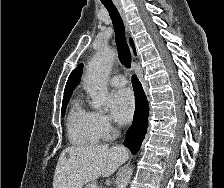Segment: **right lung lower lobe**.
I'll return each instance as SVG.
<instances>
[{
    "mask_svg": "<svg viewBox=\"0 0 224 188\" xmlns=\"http://www.w3.org/2000/svg\"><path fill=\"white\" fill-rule=\"evenodd\" d=\"M132 85L135 94V113L131 127L129 128L124 145L136 154L145 137L148 123V101L136 76L132 77Z\"/></svg>",
    "mask_w": 224,
    "mask_h": 188,
    "instance_id": "obj_1",
    "label": "right lung lower lobe"
}]
</instances>
